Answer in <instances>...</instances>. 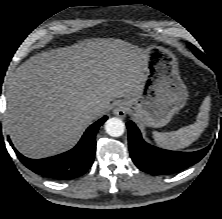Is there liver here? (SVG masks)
I'll return each instance as SVG.
<instances>
[{
    "instance_id": "liver-1",
    "label": "liver",
    "mask_w": 222,
    "mask_h": 219,
    "mask_svg": "<svg viewBox=\"0 0 222 219\" xmlns=\"http://www.w3.org/2000/svg\"><path fill=\"white\" fill-rule=\"evenodd\" d=\"M146 53L121 39H85L22 63L7 82V131L23 155L71 149L116 98L142 89ZM101 108L102 114L92 110Z\"/></svg>"
}]
</instances>
